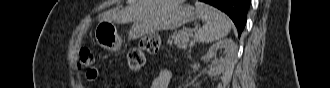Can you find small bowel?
I'll return each instance as SVG.
<instances>
[{
  "label": "small bowel",
  "instance_id": "c3829d8e",
  "mask_svg": "<svg viewBox=\"0 0 330 88\" xmlns=\"http://www.w3.org/2000/svg\"><path fill=\"white\" fill-rule=\"evenodd\" d=\"M170 73L167 70L159 72L157 77L153 80L151 88H166L169 82Z\"/></svg>",
  "mask_w": 330,
  "mask_h": 88
}]
</instances>
